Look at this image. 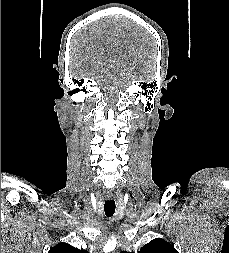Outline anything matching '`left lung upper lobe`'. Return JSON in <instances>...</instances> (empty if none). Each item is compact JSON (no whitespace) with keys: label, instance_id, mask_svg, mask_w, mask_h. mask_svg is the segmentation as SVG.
I'll list each match as a JSON object with an SVG mask.
<instances>
[{"label":"left lung upper lobe","instance_id":"obj_1","mask_svg":"<svg viewBox=\"0 0 229 253\" xmlns=\"http://www.w3.org/2000/svg\"><path fill=\"white\" fill-rule=\"evenodd\" d=\"M121 253H131L122 251ZM133 253V252H132ZM138 253H178L173 245L167 241L156 238L144 245Z\"/></svg>","mask_w":229,"mask_h":253}]
</instances>
